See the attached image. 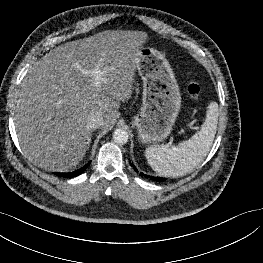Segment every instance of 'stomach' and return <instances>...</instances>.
<instances>
[{
	"label": "stomach",
	"instance_id": "stomach-1",
	"mask_svg": "<svg viewBox=\"0 0 263 263\" xmlns=\"http://www.w3.org/2000/svg\"><path fill=\"white\" fill-rule=\"evenodd\" d=\"M137 70L143 81L142 107L132 118L141 143L167 139L181 109V93L171 65L162 52L142 47Z\"/></svg>",
	"mask_w": 263,
	"mask_h": 263
}]
</instances>
